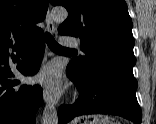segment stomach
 Masks as SVG:
<instances>
[{"mask_svg": "<svg viewBox=\"0 0 156 124\" xmlns=\"http://www.w3.org/2000/svg\"><path fill=\"white\" fill-rule=\"evenodd\" d=\"M71 124H115L114 122H112L111 120L107 119V118H103V119H93L91 120H80V119H76L74 121L71 122Z\"/></svg>", "mask_w": 156, "mask_h": 124, "instance_id": "1", "label": "stomach"}]
</instances>
